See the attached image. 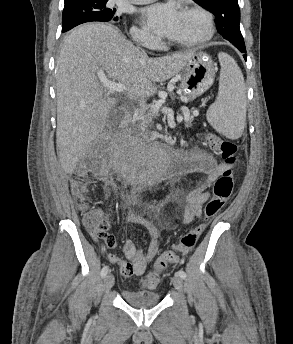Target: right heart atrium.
Listing matches in <instances>:
<instances>
[{
    "label": "right heart atrium",
    "instance_id": "1",
    "mask_svg": "<svg viewBox=\"0 0 293 344\" xmlns=\"http://www.w3.org/2000/svg\"><path fill=\"white\" fill-rule=\"evenodd\" d=\"M131 37L134 41L147 48H155L158 45V39L155 36L138 27L131 28Z\"/></svg>",
    "mask_w": 293,
    "mask_h": 344
}]
</instances>
